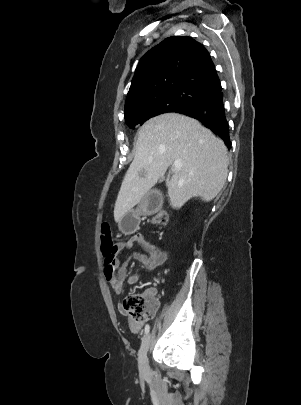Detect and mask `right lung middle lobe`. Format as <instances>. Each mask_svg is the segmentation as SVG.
<instances>
[{
    "instance_id": "obj_1",
    "label": "right lung middle lobe",
    "mask_w": 301,
    "mask_h": 405,
    "mask_svg": "<svg viewBox=\"0 0 301 405\" xmlns=\"http://www.w3.org/2000/svg\"><path fill=\"white\" fill-rule=\"evenodd\" d=\"M211 94L189 87L173 88L145 97L125 113V122L130 128L143 124L151 117L174 112L178 108L205 101Z\"/></svg>"
}]
</instances>
